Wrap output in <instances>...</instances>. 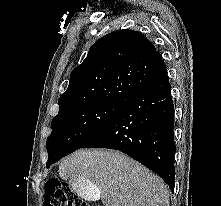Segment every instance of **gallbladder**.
I'll return each mask as SVG.
<instances>
[{"label":"gallbladder","instance_id":"1","mask_svg":"<svg viewBox=\"0 0 221 206\" xmlns=\"http://www.w3.org/2000/svg\"><path fill=\"white\" fill-rule=\"evenodd\" d=\"M75 194L78 198H85V202H98L100 193L97 185H93L92 181H71Z\"/></svg>","mask_w":221,"mask_h":206}]
</instances>
